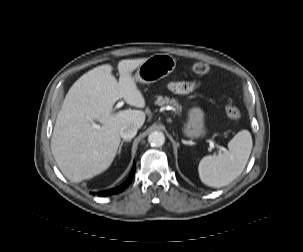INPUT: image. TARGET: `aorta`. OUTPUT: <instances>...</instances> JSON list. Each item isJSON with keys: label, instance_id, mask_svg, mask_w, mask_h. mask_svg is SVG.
I'll return each mask as SVG.
<instances>
[{"label": "aorta", "instance_id": "obj_1", "mask_svg": "<svg viewBox=\"0 0 303 252\" xmlns=\"http://www.w3.org/2000/svg\"><path fill=\"white\" fill-rule=\"evenodd\" d=\"M148 142L151 146L160 147L165 143V136L161 131H154L149 134Z\"/></svg>", "mask_w": 303, "mask_h": 252}]
</instances>
